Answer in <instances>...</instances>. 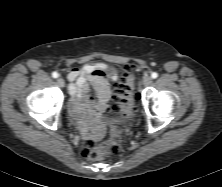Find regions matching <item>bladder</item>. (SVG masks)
Segmentation results:
<instances>
[{"mask_svg":"<svg viewBox=\"0 0 222 187\" xmlns=\"http://www.w3.org/2000/svg\"><path fill=\"white\" fill-rule=\"evenodd\" d=\"M134 118L135 112L133 110H128L122 117L115 119L114 122L116 124L127 126L133 121Z\"/></svg>","mask_w":222,"mask_h":187,"instance_id":"bladder-1","label":"bladder"}]
</instances>
